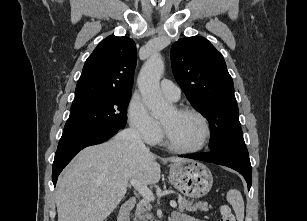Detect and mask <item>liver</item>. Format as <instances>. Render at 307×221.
<instances>
[{"instance_id": "liver-1", "label": "liver", "mask_w": 307, "mask_h": 221, "mask_svg": "<svg viewBox=\"0 0 307 221\" xmlns=\"http://www.w3.org/2000/svg\"><path fill=\"white\" fill-rule=\"evenodd\" d=\"M170 162L185 159L171 157ZM161 168L147 148L116 139L83 149L56 186L58 221H104L127 191L128 181L160 180Z\"/></svg>"}]
</instances>
